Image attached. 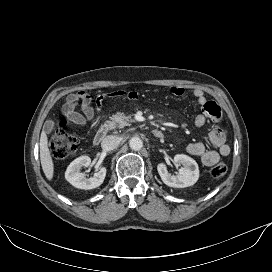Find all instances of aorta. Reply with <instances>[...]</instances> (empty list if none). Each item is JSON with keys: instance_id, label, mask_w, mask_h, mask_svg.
<instances>
[{"instance_id": "aorta-1", "label": "aorta", "mask_w": 272, "mask_h": 272, "mask_svg": "<svg viewBox=\"0 0 272 272\" xmlns=\"http://www.w3.org/2000/svg\"><path fill=\"white\" fill-rule=\"evenodd\" d=\"M129 146L134 151H139L143 147V142L139 137H132L129 141Z\"/></svg>"}]
</instances>
